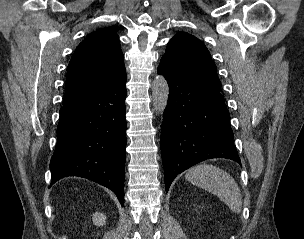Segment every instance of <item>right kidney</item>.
Returning <instances> with one entry per match:
<instances>
[{
	"label": "right kidney",
	"mask_w": 304,
	"mask_h": 239,
	"mask_svg": "<svg viewBox=\"0 0 304 239\" xmlns=\"http://www.w3.org/2000/svg\"><path fill=\"white\" fill-rule=\"evenodd\" d=\"M99 220V225H103L105 223V217L103 215L97 216Z\"/></svg>",
	"instance_id": "obj_1"
}]
</instances>
